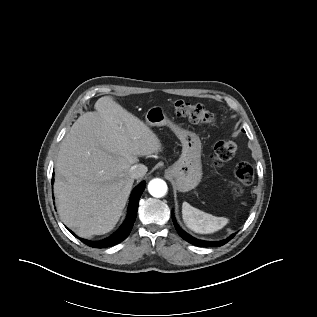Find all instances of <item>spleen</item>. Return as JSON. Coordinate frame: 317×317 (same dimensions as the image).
<instances>
[{"mask_svg": "<svg viewBox=\"0 0 317 317\" xmlns=\"http://www.w3.org/2000/svg\"><path fill=\"white\" fill-rule=\"evenodd\" d=\"M182 217L189 229L200 234L214 233L225 227L229 222L226 217L213 216L194 208L188 202L182 204Z\"/></svg>", "mask_w": 317, "mask_h": 317, "instance_id": "1", "label": "spleen"}]
</instances>
